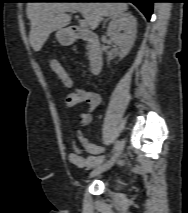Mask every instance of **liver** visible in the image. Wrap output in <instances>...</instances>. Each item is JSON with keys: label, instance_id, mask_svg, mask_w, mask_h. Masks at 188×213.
<instances>
[{"label": "liver", "instance_id": "6515ba94", "mask_svg": "<svg viewBox=\"0 0 188 213\" xmlns=\"http://www.w3.org/2000/svg\"><path fill=\"white\" fill-rule=\"evenodd\" d=\"M127 10L124 2H29L26 12L31 22L30 44L35 52L40 51L53 31L70 23L71 16L67 12H80L90 29L95 30L104 17Z\"/></svg>", "mask_w": 188, "mask_h": 213}]
</instances>
